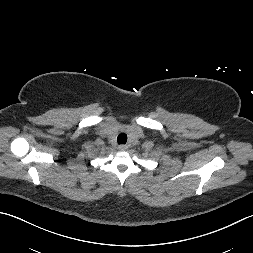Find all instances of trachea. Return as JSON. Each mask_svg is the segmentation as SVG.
<instances>
[{
    "label": "trachea",
    "instance_id": "obj_1",
    "mask_svg": "<svg viewBox=\"0 0 253 253\" xmlns=\"http://www.w3.org/2000/svg\"><path fill=\"white\" fill-rule=\"evenodd\" d=\"M118 144H125L127 142V135L125 133H120L117 137Z\"/></svg>",
    "mask_w": 253,
    "mask_h": 253
}]
</instances>
